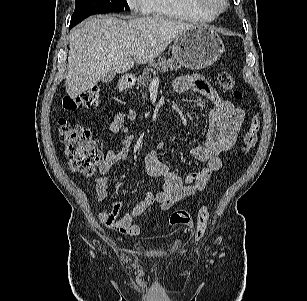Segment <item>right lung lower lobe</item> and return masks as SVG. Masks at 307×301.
<instances>
[{"instance_id":"1","label":"right lung lower lobe","mask_w":307,"mask_h":301,"mask_svg":"<svg viewBox=\"0 0 307 301\" xmlns=\"http://www.w3.org/2000/svg\"><path fill=\"white\" fill-rule=\"evenodd\" d=\"M76 24L70 23V28L71 29L73 26H75Z\"/></svg>"}]
</instances>
